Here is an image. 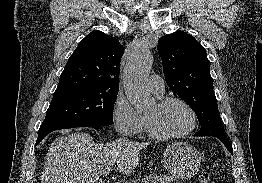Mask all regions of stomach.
Wrapping results in <instances>:
<instances>
[{
    "mask_svg": "<svg viewBox=\"0 0 262 183\" xmlns=\"http://www.w3.org/2000/svg\"><path fill=\"white\" fill-rule=\"evenodd\" d=\"M201 154L186 142L169 144L163 153V162L169 173L178 179L193 177L200 169Z\"/></svg>",
    "mask_w": 262,
    "mask_h": 183,
    "instance_id": "1",
    "label": "stomach"
}]
</instances>
